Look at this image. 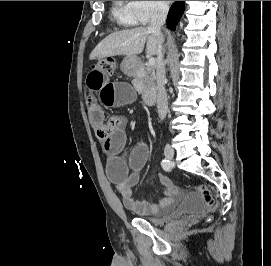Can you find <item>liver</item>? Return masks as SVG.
Returning <instances> with one entry per match:
<instances>
[{"instance_id": "1", "label": "liver", "mask_w": 271, "mask_h": 266, "mask_svg": "<svg viewBox=\"0 0 271 266\" xmlns=\"http://www.w3.org/2000/svg\"><path fill=\"white\" fill-rule=\"evenodd\" d=\"M153 56L158 51V37L147 28L138 27L115 32L104 38L90 54V60L116 55L136 56L144 50Z\"/></svg>"}]
</instances>
